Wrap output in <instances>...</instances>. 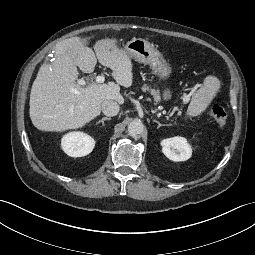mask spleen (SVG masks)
Masks as SVG:
<instances>
[{
    "instance_id": "spleen-1",
    "label": "spleen",
    "mask_w": 255,
    "mask_h": 255,
    "mask_svg": "<svg viewBox=\"0 0 255 255\" xmlns=\"http://www.w3.org/2000/svg\"><path fill=\"white\" fill-rule=\"evenodd\" d=\"M219 89V79L215 76H208L205 79L204 85L193 94L186 114L191 117L200 115L205 111L213 97L216 96Z\"/></svg>"
}]
</instances>
